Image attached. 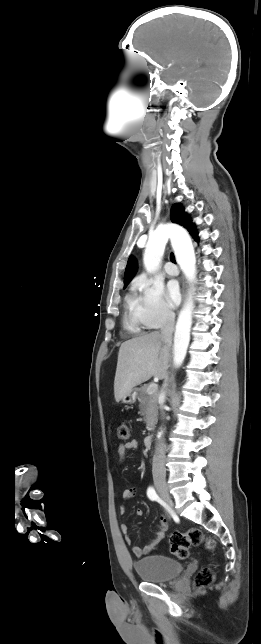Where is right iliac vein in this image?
<instances>
[{
    "label": "right iliac vein",
    "instance_id": "63e3f726",
    "mask_svg": "<svg viewBox=\"0 0 261 644\" xmlns=\"http://www.w3.org/2000/svg\"><path fill=\"white\" fill-rule=\"evenodd\" d=\"M154 484H155V487H156V489H157V491H158L159 495L161 496V498H162V499H163V500H164V501H165V502H166L170 507H173V502H172L171 497H170V495H169V493H168V488H167V484H166V481H165L164 476H162V475H155V476H154Z\"/></svg>",
    "mask_w": 261,
    "mask_h": 644
}]
</instances>
